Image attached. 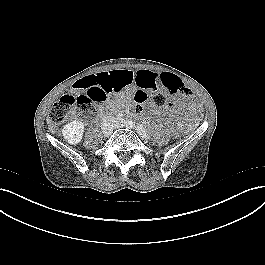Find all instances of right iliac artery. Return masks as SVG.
I'll list each match as a JSON object with an SVG mask.
<instances>
[{
  "instance_id": "right-iliac-artery-1",
  "label": "right iliac artery",
  "mask_w": 265,
  "mask_h": 265,
  "mask_svg": "<svg viewBox=\"0 0 265 265\" xmlns=\"http://www.w3.org/2000/svg\"><path fill=\"white\" fill-rule=\"evenodd\" d=\"M117 120H119V121H122L123 120V114L122 113H119L117 115Z\"/></svg>"
}]
</instances>
